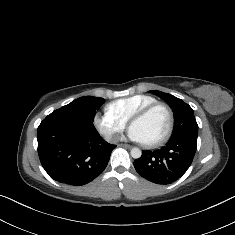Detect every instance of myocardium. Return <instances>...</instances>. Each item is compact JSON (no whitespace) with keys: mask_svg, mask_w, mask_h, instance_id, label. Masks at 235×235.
<instances>
[{"mask_svg":"<svg viewBox=\"0 0 235 235\" xmlns=\"http://www.w3.org/2000/svg\"><path fill=\"white\" fill-rule=\"evenodd\" d=\"M157 109H162L166 112V114L168 115V118H169V125H168V129H167L166 133L162 137L158 138L157 140H155L153 142L142 144L143 147H145L147 149L156 148V147L164 144L165 142H167L170 139V137L172 136V133L174 131V127H175V117H174L173 111L171 110V108L169 106H167L164 103H154V104L149 105L146 108L142 109L138 113H136L131 118V121H130V125L132 126L133 122L147 117L149 114H151L153 111H155Z\"/></svg>","mask_w":235,"mask_h":235,"instance_id":"myocardium-1","label":"myocardium"}]
</instances>
